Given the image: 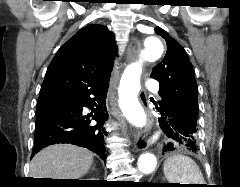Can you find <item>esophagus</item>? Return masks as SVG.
<instances>
[{"instance_id":"esophagus-1","label":"esophagus","mask_w":240,"mask_h":187,"mask_svg":"<svg viewBox=\"0 0 240 187\" xmlns=\"http://www.w3.org/2000/svg\"><path fill=\"white\" fill-rule=\"evenodd\" d=\"M141 45L135 37L129 39L126 51V61L128 63L137 61L139 58ZM149 146L148 140L145 137H141L137 134L134 138V148L138 151L146 150Z\"/></svg>"}]
</instances>
